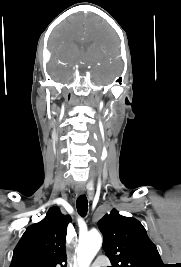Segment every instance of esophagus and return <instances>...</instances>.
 <instances>
[{"instance_id":"34e87169","label":"esophagus","mask_w":181,"mask_h":267,"mask_svg":"<svg viewBox=\"0 0 181 267\" xmlns=\"http://www.w3.org/2000/svg\"><path fill=\"white\" fill-rule=\"evenodd\" d=\"M85 193V189L84 188H78L77 190H76V194L77 195H82V194H84Z\"/></svg>"}]
</instances>
